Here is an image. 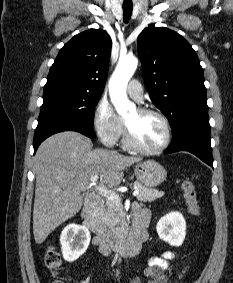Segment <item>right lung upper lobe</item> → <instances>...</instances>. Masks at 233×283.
Wrapping results in <instances>:
<instances>
[{"label":"right lung upper lobe","instance_id":"right-lung-upper-lobe-1","mask_svg":"<svg viewBox=\"0 0 233 283\" xmlns=\"http://www.w3.org/2000/svg\"><path fill=\"white\" fill-rule=\"evenodd\" d=\"M112 41L106 31L89 29L75 35L59 51L46 85H65L102 93Z\"/></svg>","mask_w":233,"mask_h":283}]
</instances>
